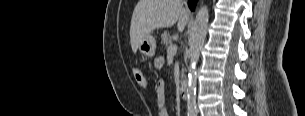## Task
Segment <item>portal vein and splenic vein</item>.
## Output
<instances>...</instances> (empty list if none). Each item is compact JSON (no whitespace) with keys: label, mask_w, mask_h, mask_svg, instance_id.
<instances>
[{"label":"portal vein and splenic vein","mask_w":305,"mask_h":116,"mask_svg":"<svg viewBox=\"0 0 305 116\" xmlns=\"http://www.w3.org/2000/svg\"><path fill=\"white\" fill-rule=\"evenodd\" d=\"M167 52L170 53V54H175V53L177 52V46L171 44V45L168 47Z\"/></svg>","instance_id":"1"}]
</instances>
